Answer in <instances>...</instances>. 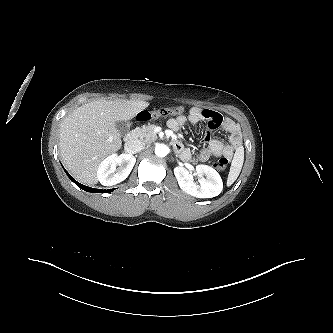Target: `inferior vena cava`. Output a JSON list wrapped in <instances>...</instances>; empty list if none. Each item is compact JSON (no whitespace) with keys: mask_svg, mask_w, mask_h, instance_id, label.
Segmentation results:
<instances>
[{"mask_svg":"<svg viewBox=\"0 0 333 333\" xmlns=\"http://www.w3.org/2000/svg\"><path fill=\"white\" fill-rule=\"evenodd\" d=\"M125 151L129 154H136L145 148V143L140 140L129 141L125 144Z\"/></svg>","mask_w":333,"mask_h":333,"instance_id":"1","label":"inferior vena cava"}]
</instances>
